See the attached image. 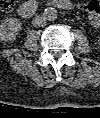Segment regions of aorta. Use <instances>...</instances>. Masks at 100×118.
Returning <instances> with one entry per match:
<instances>
[{
	"label": "aorta",
	"mask_w": 100,
	"mask_h": 118,
	"mask_svg": "<svg viewBox=\"0 0 100 118\" xmlns=\"http://www.w3.org/2000/svg\"><path fill=\"white\" fill-rule=\"evenodd\" d=\"M43 15L45 16L46 20L48 21H54L57 19L58 16V10L54 7H47L44 10Z\"/></svg>",
	"instance_id": "aorta-1"
}]
</instances>
